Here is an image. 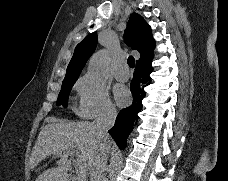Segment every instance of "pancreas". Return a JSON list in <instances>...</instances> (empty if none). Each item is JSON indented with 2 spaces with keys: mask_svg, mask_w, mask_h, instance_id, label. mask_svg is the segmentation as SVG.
<instances>
[{
  "mask_svg": "<svg viewBox=\"0 0 228 181\" xmlns=\"http://www.w3.org/2000/svg\"><path fill=\"white\" fill-rule=\"evenodd\" d=\"M77 177H73V179H76V181H87V177H80L78 171L76 173Z\"/></svg>",
  "mask_w": 228,
  "mask_h": 181,
  "instance_id": "obj_1",
  "label": "pancreas"
}]
</instances>
